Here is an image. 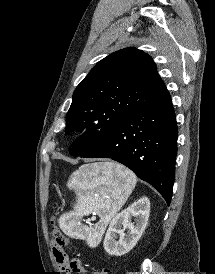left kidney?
<instances>
[{
    "mask_svg": "<svg viewBox=\"0 0 215 274\" xmlns=\"http://www.w3.org/2000/svg\"><path fill=\"white\" fill-rule=\"evenodd\" d=\"M150 213V201L142 197L116 215L107 230L103 246L109 255L122 256L137 244L146 228ZM136 217L135 223L131 222ZM128 229L127 234L125 230Z\"/></svg>",
    "mask_w": 215,
    "mask_h": 274,
    "instance_id": "1",
    "label": "left kidney"
}]
</instances>
